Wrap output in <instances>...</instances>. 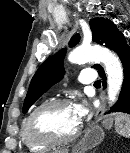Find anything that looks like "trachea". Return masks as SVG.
I'll use <instances>...</instances> for the list:
<instances>
[{
	"instance_id": "trachea-1",
	"label": "trachea",
	"mask_w": 130,
	"mask_h": 153,
	"mask_svg": "<svg viewBox=\"0 0 130 153\" xmlns=\"http://www.w3.org/2000/svg\"><path fill=\"white\" fill-rule=\"evenodd\" d=\"M94 86H101L100 80H97V81L94 83Z\"/></svg>"
}]
</instances>
